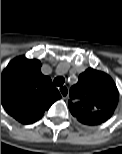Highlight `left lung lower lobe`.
I'll list each match as a JSON object with an SVG mask.
<instances>
[{
    "label": "left lung lower lobe",
    "instance_id": "left-lung-lower-lobe-1",
    "mask_svg": "<svg viewBox=\"0 0 122 154\" xmlns=\"http://www.w3.org/2000/svg\"><path fill=\"white\" fill-rule=\"evenodd\" d=\"M106 114H110L108 112H106ZM112 115V114H111ZM111 115H107L106 117H104L105 119H99V120H102L103 122L106 121ZM102 123V122H101ZM95 125H98V124H95Z\"/></svg>",
    "mask_w": 122,
    "mask_h": 154
}]
</instances>
